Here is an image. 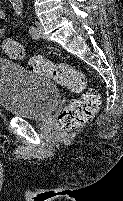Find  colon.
<instances>
[{"label": "colon", "instance_id": "obj_1", "mask_svg": "<svg viewBox=\"0 0 123 201\" xmlns=\"http://www.w3.org/2000/svg\"><path fill=\"white\" fill-rule=\"evenodd\" d=\"M2 49L13 59L24 57L21 45L11 37L3 39ZM29 67L39 75L52 78L61 86L83 92L80 98L71 100L59 114L57 129L60 133L80 128L98 112L101 105L100 95L96 90L86 89L87 78L84 73L76 71L69 64H56L42 56H33Z\"/></svg>", "mask_w": 123, "mask_h": 201}]
</instances>
